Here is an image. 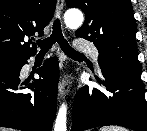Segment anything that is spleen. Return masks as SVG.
Here are the masks:
<instances>
[{
  "label": "spleen",
  "mask_w": 147,
  "mask_h": 131,
  "mask_svg": "<svg viewBox=\"0 0 147 131\" xmlns=\"http://www.w3.org/2000/svg\"><path fill=\"white\" fill-rule=\"evenodd\" d=\"M100 131H127L126 129L119 126H104Z\"/></svg>",
  "instance_id": "spleen-1"
}]
</instances>
